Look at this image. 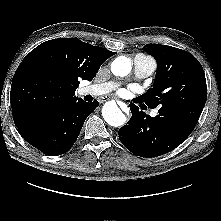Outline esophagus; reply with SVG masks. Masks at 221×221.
I'll list each match as a JSON object with an SVG mask.
<instances>
[{
    "label": "esophagus",
    "instance_id": "obj_1",
    "mask_svg": "<svg viewBox=\"0 0 221 221\" xmlns=\"http://www.w3.org/2000/svg\"><path fill=\"white\" fill-rule=\"evenodd\" d=\"M104 100L103 101H107L109 100L108 98H103ZM126 105L124 103H121V107H125Z\"/></svg>",
    "mask_w": 221,
    "mask_h": 221
}]
</instances>
